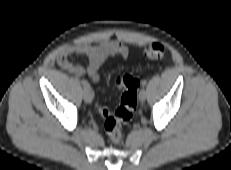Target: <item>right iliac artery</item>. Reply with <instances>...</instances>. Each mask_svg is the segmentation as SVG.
Returning a JSON list of instances; mask_svg holds the SVG:
<instances>
[{
	"label": "right iliac artery",
	"instance_id": "right-iliac-artery-1",
	"mask_svg": "<svg viewBox=\"0 0 231 170\" xmlns=\"http://www.w3.org/2000/svg\"><path fill=\"white\" fill-rule=\"evenodd\" d=\"M82 85H83L84 89H90L91 90L90 84L86 80H82Z\"/></svg>",
	"mask_w": 231,
	"mask_h": 170
}]
</instances>
